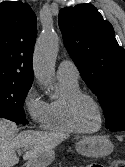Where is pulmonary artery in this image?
Returning a JSON list of instances; mask_svg holds the SVG:
<instances>
[{
    "label": "pulmonary artery",
    "instance_id": "obj_1",
    "mask_svg": "<svg viewBox=\"0 0 125 167\" xmlns=\"http://www.w3.org/2000/svg\"><path fill=\"white\" fill-rule=\"evenodd\" d=\"M57 78L78 81L79 70L71 60H62L57 68Z\"/></svg>",
    "mask_w": 125,
    "mask_h": 167
}]
</instances>
